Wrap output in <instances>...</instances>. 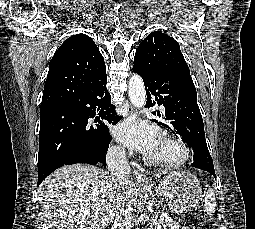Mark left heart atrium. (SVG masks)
Returning a JSON list of instances; mask_svg holds the SVG:
<instances>
[{
	"instance_id": "obj_1",
	"label": "left heart atrium",
	"mask_w": 255,
	"mask_h": 229,
	"mask_svg": "<svg viewBox=\"0 0 255 229\" xmlns=\"http://www.w3.org/2000/svg\"><path fill=\"white\" fill-rule=\"evenodd\" d=\"M116 138L128 147L152 155L162 138L157 127L131 119L115 129Z\"/></svg>"
}]
</instances>
